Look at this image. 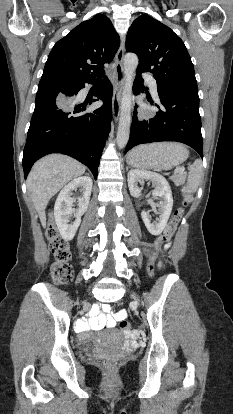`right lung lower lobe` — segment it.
<instances>
[{
	"mask_svg": "<svg viewBox=\"0 0 233 414\" xmlns=\"http://www.w3.org/2000/svg\"><path fill=\"white\" fill-rule=\"evenodd\" d=\"M86 81L71 89H38L35 110L28 130L23 154L24 176L39 158L50 153L69 155L85 164L97 178V169L105 141L110 131L112 117V85L107 77L95 94L104 104L93 111L87 105L74 102Z\"/></svg>",
	"mask_w": 233,
	"mask_h": 414,
	"instance_id": "right-lung-lower-lobe-1",
	"label": "right lung lower lobe"
}]
</instances>
